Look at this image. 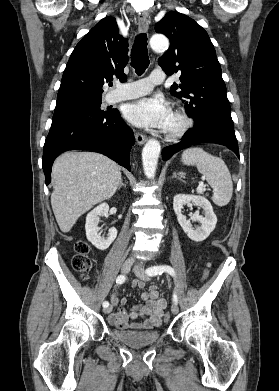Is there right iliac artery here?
<instances>
[{
  "label": "right iliac artery",
  "instance_id": "obj_1",
  "mask_svg": "<svg viewBox=\"0 0 279 391\" xmlns=\"http://www.w3.org/2000/svg\"><path fill=\"white\" fill-rule=\"evenodd\" d=\"M125 281V276L124 275H119L116 279V283L117 284H122L123 282ZM109 306V303L107 301H105L103 303V307H108Z\"/></svg>",
  "mask_w": 279,
  "mask_h": 391
}]
</instances>
